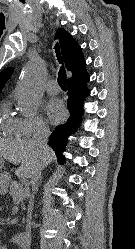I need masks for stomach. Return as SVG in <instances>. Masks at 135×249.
I'll return each instance as SVG.
<instances>
[{
  "mask_svg": "<svg viewBox=\"0 0 135 249\" xmlns=\"http://www.w3.org/2000/svg\"><path fill=\"white\" fill-rule=\"evenodd\" d=\"M4 164V161L2 158H0V170L2 169ZM2 177H6L7 181H9L10 177L8 176V174H0V189H3L5 187V184L2 181Z\"/></svg>",
  "mask_w": 135,
  "mask_h": 249,
  "instance_id": "stomach-1",
  "label": "stomach"
}]
</instances>
